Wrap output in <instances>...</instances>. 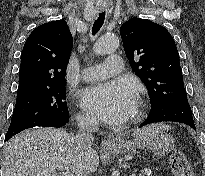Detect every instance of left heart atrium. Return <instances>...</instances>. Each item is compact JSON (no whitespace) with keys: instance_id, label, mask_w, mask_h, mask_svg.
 I'll return each instance as SVG.
<instances>
[{"instance_id":"1","label":"left heart atrium","mask_w":205,"mask_h":176,"mask_svg":"<svg viewBox=\"0 0 205 176\" xmlns=\"http://www.w3.org/2000/svg\"><path fill=\"white\" fill-rule=\"evenodd\" d=\"M137 90L130 81L116 79L95 84L81 93L83 106L107 123H119L133 112Z\"/></svg>"}]
</instances>
